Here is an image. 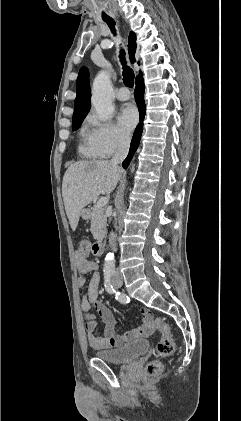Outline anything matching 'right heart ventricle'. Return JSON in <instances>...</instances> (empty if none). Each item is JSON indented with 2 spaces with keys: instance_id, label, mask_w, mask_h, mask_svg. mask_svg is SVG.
<instances>
[{
  "instance_id": "right-heart-ventricle-1",
  "label": "right heart ventricle",
  "mask_w": 241,
  "mask_h": 421,
  "mask_svg": "<svg viewBox=\"0 0 241 421\" xmlns=\"http://www.w3.org/2000/svg\"><path fill=\"white\" fill-rule=\"evenodd\" d=\"M82 141L80 143L79 146V151L81 152L82 155L87 156V157H95L97 156L93 150V147L90 143L89 137H88V133L83 129L82 132Z\"/></svg>"
}]
</instances>
